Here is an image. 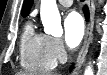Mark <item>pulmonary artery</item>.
Segmentation results:
<instances>
[{"mask_svg": "<svg viewBox=\"0 0 107 75\" xmlns=\"http://www.w3.org/2000/svg\"><path fill=\"white\" fill-rule=\"evenodd\" d=\"M62 6L69 7L72 5V0H59L58 1Z\"/></svg>", "mask_w": 107, "mask_h": 75, "instance_id": "1", "label": "pulmonary artery"}]
</instances>
